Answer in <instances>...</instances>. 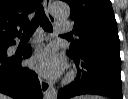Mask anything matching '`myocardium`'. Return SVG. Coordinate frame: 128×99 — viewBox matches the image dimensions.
<instances>
[{"label": "myocardium", "instance_id": "1", "mask_svg": "<svg viewBox=\"0 0 128 99\" xmlns=\"http://www.w3.org/2000/svg\"><path fill=\"white\" fill-rule=\"evenodd\" d=\"M74 78H75V73L73 71H69L66 74V76H65V78L63 80V83H65V84L70 83V82H72L74 80Z\"/></svg>", "mask_w": 128, "mask_h": 99}]
</instances>
